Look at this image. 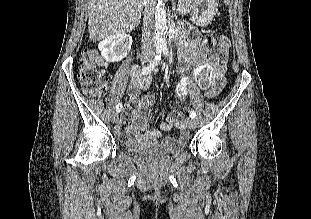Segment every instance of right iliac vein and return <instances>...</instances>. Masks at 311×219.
I'll list each match as a JSON object with an SVG mask.
<instances>
[{"mask_svg":"<svg viewBox=\"0 0 311 219\" xmlns=\"http://www.w3.org/2000/svg\"><path fill=\"white\" fill-rule=\"evenodd\" d=\"M141 60L143 63H146V62H149L151 58L149 56H142ZM111 119L114 124H117L119 121L118 114L117 113L113 114Z\"/></svg>","mask_w":311,"mask_h":219,"instance_id":"63e3f726","label":"right iliac vein"}]
</instances>
